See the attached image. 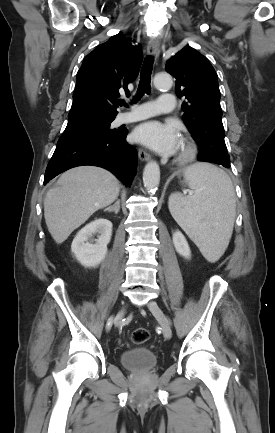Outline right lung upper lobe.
Returning <instances> with one entry per match:
<instances>
[{
    "label": "right lung upper lobe",
    "mask_w": 275,
    "mask_h": 433,
    "mask_svg": "<svg viewBox=\"0 0 275 433\" xmlns=\"http://www.w3.org/2000/svg\"><path fill=\"white\" fill-rule=\"evenodd\" d=\"M142 63L140 46L120 33L99 45L86 56L76 77L73 103L68 115L75 118L86 115L116 116L119 91L128 92Z\"/></svg>",
    "instance_id": "cb5924a9"
}]
</instances>
